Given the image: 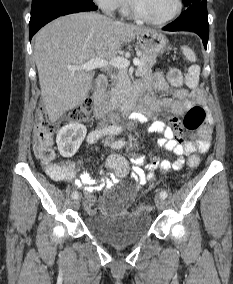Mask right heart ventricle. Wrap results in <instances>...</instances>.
I'll return each instance as SVG.
<instances>
[{
    "instance_id": "e07e8e85",
    "label": "right heart ventricle",
    "mask_w": 233,
    "mask_h": 284,
    "mask_svg": "<svg viewBox=\"0 0 233 284\" xmlns=\"http://www.w3.org/2000/svg\"><path fill=\"white\" fill-rule=\"evenodd\" d=\"M122 13L125 15L129 14V8H128V2L127 0L124 2V4L122 5Z\"/></svg>"
}]
</instances>
